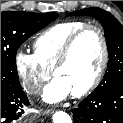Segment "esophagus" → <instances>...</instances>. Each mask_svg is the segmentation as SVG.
Listing matches in <instances>:
<instances>
[{
	"instance_id": "1",
	"label": "esophagus",
	"mask_w": 123,
	"mask_h": 123,
	"mask_svg": "<svg viewBox=\"0 0 123 123\" xmlns=\"http://www.w3.org/2000/svg\"><path fill=\"white\" fill-rule=\"evenodd\" d=\"M54 112L53 109H46V110H42V114L43 115H50Z\"/></svg>"
}]
</instances>
